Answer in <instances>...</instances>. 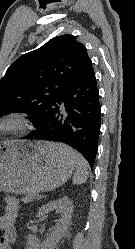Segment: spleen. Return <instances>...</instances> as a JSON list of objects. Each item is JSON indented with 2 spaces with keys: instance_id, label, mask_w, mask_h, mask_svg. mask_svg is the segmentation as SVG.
<instances>
[{
  "instance_id": "obj_1",
  "label": "spleen",
  "mask_w": 135,
  "mask_h": 249,
  "mask_svg": "<svg viewBox=\"0 0 135 249\" xmlns=\"http://www.w3.org/2000/svg\"><path fill=\"white\" fill-rule=\"evenodd\" d=\"M58 150L67 156L75 165V173L73 177L74 184H83L89 177L88 164L86 160L78 152L64 144L58 145Z\"/></svg>"
}]
</instances>
